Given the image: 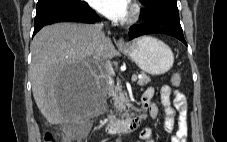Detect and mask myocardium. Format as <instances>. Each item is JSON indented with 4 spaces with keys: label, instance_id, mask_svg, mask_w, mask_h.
Here are the masks:
<instances>
[{
    "label": "myocardium",
    "instance_id": "myocardium-1",
    "mask_svg": "<svg viewBox=\"0 0 227 142\" xmlns=\"http://www.w3.org/2000/svg\"><path fill=\"white\" fill-rule=\"evenodd\" d=\"M140 13H141L140 5L138 3H134L131 8V13L128 22L134 23L139 18Z\"/></svg>",
    "mask_w": 227,
    "mask_h": 142
}]
</instances>
